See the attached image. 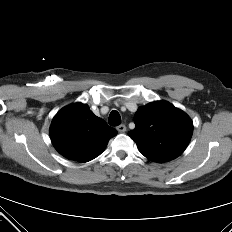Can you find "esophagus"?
Returning <instances> with one entry per match:
<instances>
[{
	"label": "esophagus",
	"instance_id": "1",
	"mask_svg": "<svg viewBox=\"0 0 232 232\" xmlns=\"http://www.w3.org/2000/svg\"><path fill=\"white\" fill-rule=\"evenodd\" d=\"M117 131L119 133H124L126 131V126L124 124L117 126Z\"/></svg>",
	"mask_w": 232,
	"mask_h": 232
}]
</instances>
